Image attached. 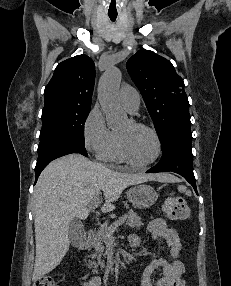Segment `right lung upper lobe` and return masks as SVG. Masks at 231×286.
Here are the masks:
<instances>
[{
  "label": "right lung upper lobe",
  "mask_w": 231,
  "mask_h": 286,
  "mask_svg": "<svg viewBox=\"0 0 231 286\" xmlns=\"http://www.w3.org/2000/svg\"><path fill=\"white\" fill-rule=\"evenodd\" d=\"M95 66L91 58L78 55L61 62L44 91V107L55 104L90 106Z\"/></svg>",
  "instance_id": "right-lung-upper-lobe-1"
}]
</instances>
